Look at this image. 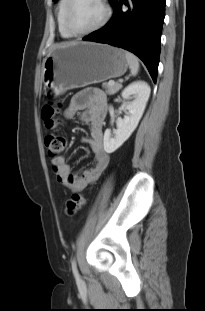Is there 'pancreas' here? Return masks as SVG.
Returning <instances> with one entry per match:
<instances>
[{
    "instance_id": "1",
    "label": "pancreas",
    "mask_w": 205,
    "mask_h": 311,
    "mask_svg": "<svg viewBox=\"0 0 205 311\" xmlns=\"http://www.w3.org/2000/svg\"><path fill=\"white\" fill-rule=\"evenodd\" d=\"M103 88L105 89L107 94L113 95L122 88V85L119 83H115L113 85H110L109 83H104Z\"/></svg>"
}]
</instances>
